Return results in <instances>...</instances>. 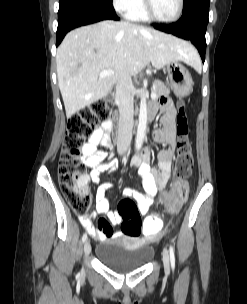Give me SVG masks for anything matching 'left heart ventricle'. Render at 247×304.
Here are the masks:
<instances>
[{
	"label": "left heart ventricle",
	"instance_id": "1",
	"mask_svg": "<svg viewBox=\"0 0 247 304\" xmlns=\"http://www.w3.org/2000/svg\"><path fill=\"white\" fill-rule=\"evenodd\" d=\"M154 14L160 19L172 18L178 9V0H150Z\"/></svg>",
	"mask_w": 247,
	"mask_h": 304
}]
</instances>
